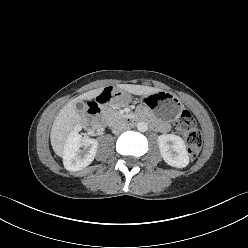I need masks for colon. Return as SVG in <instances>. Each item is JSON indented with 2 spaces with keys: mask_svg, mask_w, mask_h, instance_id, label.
<instances>
[{
  "mask_svg": "<svg viewBox=\"0 0 248 248\" xmlns=\"http://www.w3.org/2000/svg\"><path fill=\"white\" fill-rule=\"evenodd\" d=\"M175 127L186 139L190 159L196 158L202 147V136L191 113L187 110L182 111L175 122Z\"/></svg>",
  "mask_w": 248,
  "mask_h": 248,
  "instance_id": "colon-1",
  "label": "colon"
}]
</instances>
